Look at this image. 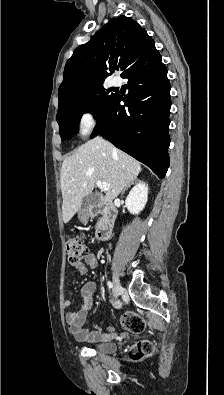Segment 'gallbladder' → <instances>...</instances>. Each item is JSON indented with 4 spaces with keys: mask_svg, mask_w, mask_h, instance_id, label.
Returning a JSON list of instances; mask_svg holds the SVG:
<instances>
[{
    "mask_svg": "<svg viewBox=\"0 0 224 395\" xmlns=\"http://www.w3.org/2000/svg\"><path fill=\"white\" fill-rule=\"evenodd\" d=\"M99 203V196L96 194H89L86 196L81 204L80 212L87 209L88 207L95 206Z\"/></svg>",
    "mask_w": 224,
    "mask_h": 395,
    "instance_id": "gallbladder-1",
    "label": "gallbladder"
}]
</instances>
